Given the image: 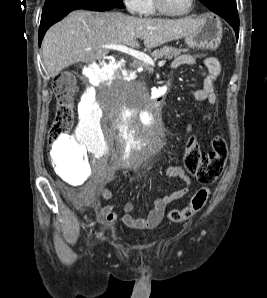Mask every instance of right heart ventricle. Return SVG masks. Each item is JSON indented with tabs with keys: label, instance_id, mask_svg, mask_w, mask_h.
Returning a JSON list of instances; mask_svg holds the SVG:
<instances>
[{
	"label": "right heart ventricle",
	"instance_id": "obj_1",
	"mask_svg": "<svg viewBox=\"0 0 267 298\" xmlns=\"http://www.w3.org/2000/svg\"><path fill=\"white\" fill-rule=\"evenodd\" d=\"M141 15L145 17H156L159 15L155 9L153 0H143Z\"/></svg>",
	"mask_w": 267,
	"mask_h": 298
}]
</instances>
